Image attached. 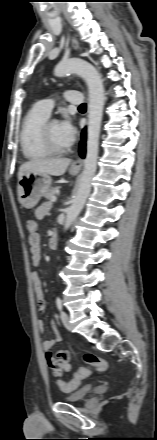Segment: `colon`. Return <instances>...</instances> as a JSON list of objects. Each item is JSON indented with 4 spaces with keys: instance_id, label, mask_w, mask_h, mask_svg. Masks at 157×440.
Segmentation results:
<instances>
[{
    "instance_id": "obj_1",
    "label": "colon",
    "mask_w": 157,
    "mask_h": 440,
    "mask_svg": "<svg viewBox=\"0 0 157 440\" xmlns=\"http://www.w3.org/2000/svg\"><path fill=\"white\" fill-rule=\"evenodd\" d=\"M26 228L29 235L38 233V225L35 220L28 219L26 222ZM85 366L80 368L74 375V377L66 382L63 380H58V385L63 391H72L77 388L80 382L89 375L92 369L103 372L106 370V362L91 353H86L83 357Z\"/></svg>"
}]
</instances>
